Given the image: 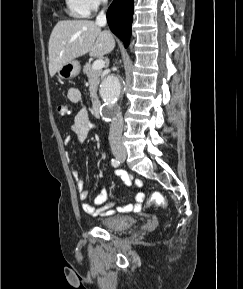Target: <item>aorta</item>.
Wrapping results in <instances>:
<instances>
[{
    "mask_svg": "<svg viewBox=\"0 0 243 289\" xmlns=\"http://www.w3.org/2000/svg\"><path fill=\"white\" fill-rule=\"evenodd\" d=\"M101 97L104 106L108 111H112L121 93V84L115 75L107 76L101 84Z\"/></svg>",
    "mask_w": 243,
    "mask_h": 289,
    "instance_id": "aorta-1",
    "label": "aorta"
}]
</instances>
